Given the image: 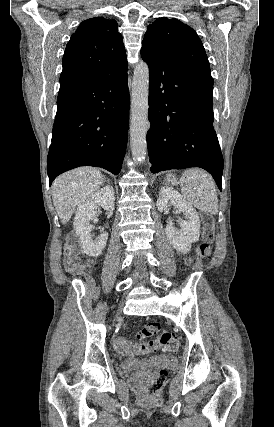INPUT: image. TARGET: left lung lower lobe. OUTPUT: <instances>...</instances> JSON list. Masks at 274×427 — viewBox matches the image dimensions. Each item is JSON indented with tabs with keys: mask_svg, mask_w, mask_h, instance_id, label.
I'll use <instances>...</instances> for the list:
<instances>
[{
	"mask_svg": "<svg viewBox=\"0 0 274 427\" xmlns=\"http://www.w3.org/2000/svg\"><path fill=\"white\" fill-rule=\"evenodd\" d=\"M141 56L149 67L150 170L200 167L222 190L223 157L213 128V78L185 71L148 46H142Z\"/></svg>",
	"mask_w": 274,
	"mask_h": 427,
	"instance_id": "obj_1",
	"label": "left lung lower lobe"
}]
</instances>
